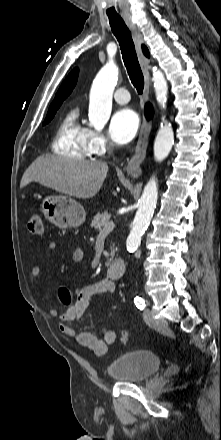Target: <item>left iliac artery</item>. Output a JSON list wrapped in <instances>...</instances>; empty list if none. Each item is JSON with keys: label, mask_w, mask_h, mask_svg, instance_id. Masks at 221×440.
Here are the masks:
<instances>
[{"label": "left iliac artery", "mask_w": 221, "mask_h": 440, "mask_svg": "<svg viewBox=\"0 0 221 440\" xmlns=\"http://www.w3.org/2000/svg\"><path fill=\"white\" fill-rule=\"evenodd\" d=\"M134 303H135L136 307L140 310H143L146 306L145 301L141 297H138V296H136L134 298Z\"/></svg>", "instance_id": "1"}]
</instances>
